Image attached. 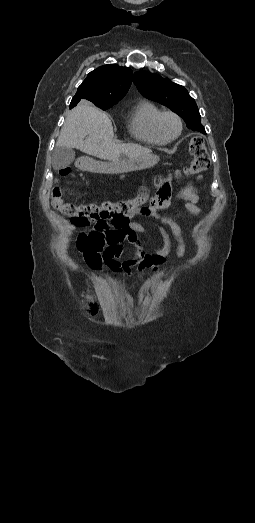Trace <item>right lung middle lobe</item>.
Segmentation results:
<instances>
[{"mask_svg":"<svg viewBox=\"0 0 255 523\" xmlns=\"http://www.w3.org/2000/svg\"><path fill=\"white\" fill-rule=\"evenodd\" d=\"M116 103L117 102L97 103V104H95V106L101 108L102 110H106V109L112 107Z\"/></svg>","mask_w":255,"mask_h":523,"instance_id":"right-lung-middle-lobe-1","label":"right lung middle lobe"}]
</instances>
